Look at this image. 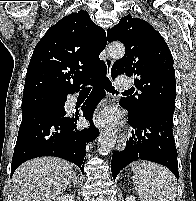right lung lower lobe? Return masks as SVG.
Instances as JSON below:
<instances>
[{
	"instance_id": "obj_1",
	"label": "right lung lower lobe",
	"mask_w": 196,
	"mask_h": 201,
	"mask_svg": "<svg viewBox=\"0 0 196 201\" xmlns=\"http://www.w3.org/2000/svg\"><path fill=\"white\" fill-rule=\"evenodd\" d=\"M105 75L106 72H102L88 83L94 86L82 106V114L90 122L88 129H77L79 113L67 115L65 111L45 108L22 112V122L12 158L11 176L20 164L40 156L63 158L76 164L83 172L86 143L96 139L99 134L92 124V114L97 103L105 96L101 87ZM77 91L79 90L74 92ZM66 97L67 95L65 102Z\"/></svg>"
}]
</instances>
